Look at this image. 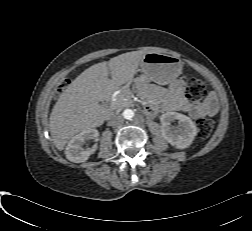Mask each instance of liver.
Instances as JSON below:
<instances>
[{
    "label": "liver",
    "mask_w": 252,
    "mask_h": 231,
    "mask_svg": "<svg viewBox=\"0 0 252 231\" xmlns=\"http://www.w3.org/2000/svg\"><path fill=\"white\" fill-rule=\"evenodd\" d=\"M145 52H132L110 61L112 80L106 62L86 69L60 95L50 116L54 144L63 149L66 139L75 133L102 124L105 109L99 102L109 100L119 86L128 83L139 70Z\"/></svg>",
    "instance_id": "obj_1"
}]
</instances>
